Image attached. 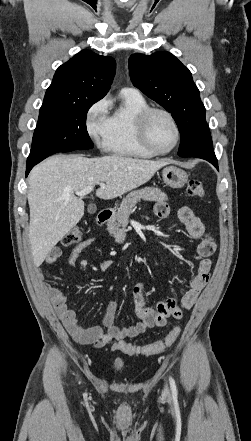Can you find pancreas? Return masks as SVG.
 I'll list each match as a JSON object with an SVG mask.
<instances>
[{
  "label": "pancreas",
  "instance_id": "obj_1",
  "mask_svg": "<svg viewBox=\"0 0 251 441\" xmlns=\"http://www.w3.org/2000/svg\"><path fill=\"white\" fill-rule=\"evenodd\" d=\"M164 202L168 200L167 195L159 188L145 187L139 190L130 192L121 202L120 207L117 208L116 214L112 220L107 224L108 232L113 235L116 242L122 243L126 238V229L128 225L129 216L133 212V208L139 200Z\"/></svg>",
  "mask_w": 251,
  "mask_h": 441
}]
</instances>
